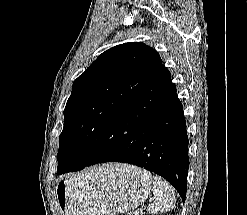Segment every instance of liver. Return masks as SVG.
I'll return each instance as SVG.
<instances>
[{"instance_id":"1","label":"liver","mask_w":247,"mask_h":215,"mask_svg":"<svg viewBox=\"0 0 247 215\" xmlns=\"http://www.w3.org/2000/svg\"><path fill=\"white\" fill-rule=\"evenodd\" d=\"M116 167L114 166V164H109V165H105V167L103 168L104 171H106L107 173L113 171ZM126 166L125 165H120V169H125Z\"/></svg>"}]
</instances>
